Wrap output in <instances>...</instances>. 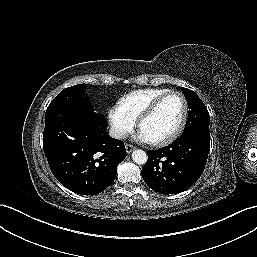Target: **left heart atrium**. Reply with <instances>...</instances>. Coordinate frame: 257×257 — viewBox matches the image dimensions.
<instances>
[{
	"label": "left heart atrium",
	"instance_id": "1",
	"mask_svg": "<svg viewBox=\"0 0 257 257\" xmlns=\"http://www.w3.org/2000/svg\"><path fill=\"white\" fill-rule=\"evenodd\" d=\"M137 138L142 142H150V140L141 131H139Z\"/></svg>",
	"mask_w": 257,
	"mask_h": 257
}]
</instances>
